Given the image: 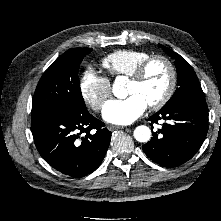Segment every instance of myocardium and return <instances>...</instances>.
Segmentation results:
<instances>
[{"instance_id":"1","label":"myocardium","mask_w":221,"mask_h":221,"mask_svg":"<svg viewBox=\"0 0 221 221\" xmlns=\"http://www.w3.org/2000/svg\"><path fill=\"white\" fill-rule=\"evenodd\" d=\"M157 60L162 61L167 66L168 71H169V83H168L165 93L161 96V98H159L157 101L148 105L153 110L160 109L164 105H166L175 92L176 84H177V71L173 62L168 57L161 55V54L150 55L148 58L143 60L135 68L134 72L129 76L130 81H133V82L141 81L143 77L145 76L148 67L154 61H157Z\"/></svg>"}]
</instances>
